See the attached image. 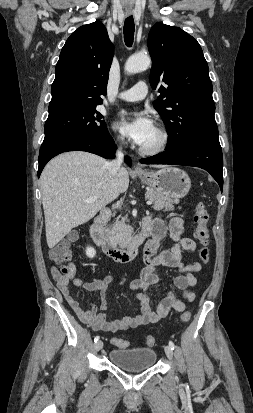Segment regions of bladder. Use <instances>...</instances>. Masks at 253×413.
<instances>
[{
	"label": "bladder",
	"instance_id": "31cf9c89",
	"mask_svg": "<svg viewBox=\"0 0 253 413\" xmlns=\"http://www.w3.org/2000/svg\"><path fill=\"white\" fill-rule=\"evenodd\" d=\"M109 359L125 371L138 372L151 368L156 362L157 354L149 347L115 348L110 351Z\"/></svg>",
	"mask_w": 253,
	"mask_h": 413
}]
</instances>
